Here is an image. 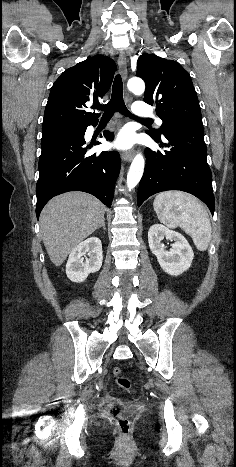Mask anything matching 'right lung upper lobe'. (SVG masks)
I'll return each instance as SVG.
<instances>
[{
	"label": "right lung upper lobe",
	"instance_id": "cb5924a9",
	"mask_svg": "<svg viewBox=\"0 0 236 467\" xmlns=\"http://www.w3.org/2000/svg\"><path fill=\"white\" fill-rule=\"evenodd\" d=\"M115 71V62L99 55L64 71L51 88L42 131L86 128L97 123L99 114L87 112V105L99 104L98 100L111 86Z\"/></svg>",
	"mask_w": 236,
	"mask_h": 467
}]
</instances>
